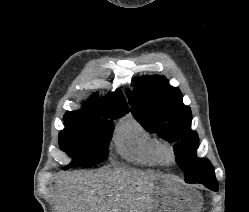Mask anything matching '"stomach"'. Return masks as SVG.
I'll return each mask as SVG.
<instances>
[{"mask_svg":"<svg viewBox=\"0 0 249 212\" xmlns=\"http://www.w3.org/2000/svg\"><path fill=\"white\" fill-rule=\"evenodd\" d=\"M155 212H201L202 194L176 180V175H159L152 192Z\"/></svg>","mask_w":249,"mask_h":212,"instance_id":"stomach-1","label":"stomach"}]
</instances>
